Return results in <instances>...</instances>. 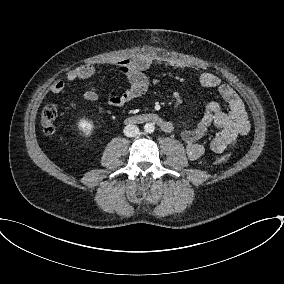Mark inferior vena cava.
Here are the masks:
<instances>
[{
	"label": "inferior vena cava",
	"mask_w": 284,
	"mask_h": 284,
	"mask_svg": "<svg viewBox=\"0 0 284 284\" xmlns=\"http://www.w3.org/2000/svg\"><path fill=\"white\" fill-rule=\"evenodd\" d=\"M123 132L127 137H135L139 134V128L135 125H127Z\"/></svg>",
	"instance_id": "obj_1"
}]
</instances>
